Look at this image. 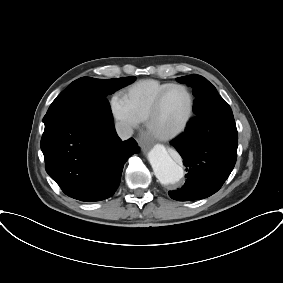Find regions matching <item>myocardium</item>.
<instances>
[{
	"instance_id": "1",
	"label": "myocardium",
	"mask_w": 283,
	"mask_h": 283,
	"mask_svg": "<svg viewBox=\"0 0 283 283\" xmlns=\"http://www.w3.org/2000/svg\"><path fill=\"white\" fill-rule=\"evenodd\" d=\"M174 88H181V89H183L187 92V94L189 96V102H190L189 103V110H188V113H187L184 121L182 122V124L179 127H177L176 129H174L170 132L162 133V132L157 131L154 128V121H155V118L158 115V112L160 110V107H161V104H162L164 97L166 96V94L170 90H172ZM194 112H195V97H194V94L191 91V89L188 86L181 84V83H172L171 85H169L168 87L163 89L157 95V97L155 98L153 105L150 109V112L147 116V119L145 121L146 128H147L148 132L152 136H154L155 138L162 140V141H169V140H172V139L178 137L179 135H181L187 129L190 122L192 121V118L194 116Z\"/></svg>"
}]
</instances>
